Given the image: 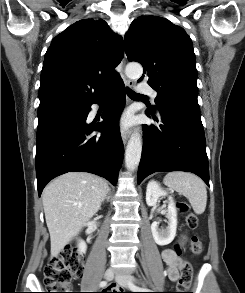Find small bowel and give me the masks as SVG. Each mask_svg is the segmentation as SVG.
I'll return each instance as SVG.
<instances>
[{
    "mask_svg": "<svg viewBox=\"0 0 245 293\" xmlns=\"http://www.w3.org/2000/svg\"><path fill=\"white\" fill-rule=\"evenodd\" d=\"M162 260L166 266V273L170 281L176 282L179 279V272L185 262L179 258L172 249L162 252ZM116 293H124L116 291Z\"/></svg>",
    "mask_w": 245,
    "mask_h": 293,
    "instance_id": "obj_1",
    "label": "small bowel"
}]
</instances>
